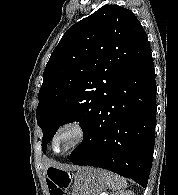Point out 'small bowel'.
<instances>
[{
	"mask_svg": "<svg viewBox=\"0 0 178 195\" xmlns=\"http://www.w3.org/2000/svg\"><path fill=\"white\" fill-rule=\"evenodd\" d=\"M50 194L51 195H62L61 192L57 191V190H53L50 188Z\"/></svg>",
	"mask_w": 178,
	"mask_h": 195,
	"instance_id": "small-bowel-1",
	"label": "small bowel"
}]
</instances>
